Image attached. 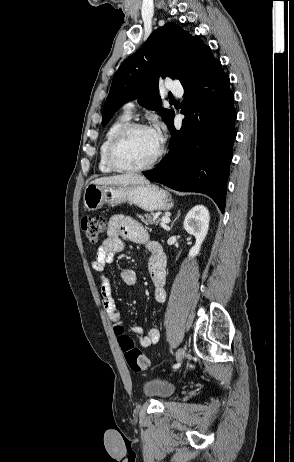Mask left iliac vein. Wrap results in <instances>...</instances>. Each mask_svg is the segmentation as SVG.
I'll list each match as a JSON object with an SVG mask.
<instances>
[{
	"instance_id": "obj_1",
	"label": "left iliac vein",
	"mask_w": 294,
	"mask_h": 462,
	"mask_svg": "<svg viewBox=\"0 0 294 462\" xmlns=\"http://www.w3.org/2000/svg\"><path fill=\"white\" fill-rule=\"evenodd\" d=\"M185 357V350L184 348H179L176 352V360H177V364H180V362L182 361V359Z\"/></svg>"
}]
</instances>
